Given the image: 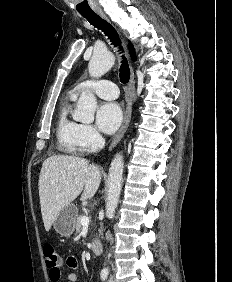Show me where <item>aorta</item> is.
Segmentation results:
<instances>
[{
    "label": "aorta",
    "mask_w": 232,
    "mask_h": 282,
    "mask_svg": "<svg viewBox=\"0 0 232 282\" xmlns=\"http://www.w3.org/2000/svg\"><path fill=\"white\" fill-rule=\"evenodd\" d=\"M114 55L107 50L94 51L88 70L91 77H101L114 65ZM97 101L93 93L82 94L77 102L73 118L83 123H91L94 120ZM124 160L121 154L113 158L108 174V191L106 197V216L113 217L117 207L123 180Z\"/></svg>",
    "instance_id": "1"
}]
</instances>
